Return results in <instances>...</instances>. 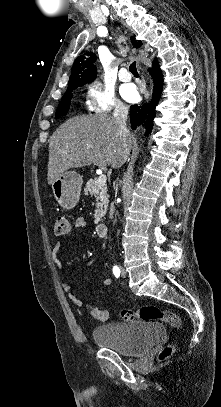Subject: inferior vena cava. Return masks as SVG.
I'll return each mask as SVG.
<instances>
[{"label":"inferior vena cava","instance_id":"obj_1","mask_svg":"<svg viewBox=\"0 0 221 407\" xmlns=\"http://www.w3.org/2000/svg\"><path fill=\"white\" fill-rule=\"evenodd\" d=\"M127 116H128V108L120 103L117 104L113 113V118L115 123L118 125L120 133H121V137L124 143V147H126V141L127 138L129 136V130L127 129V125H126V120H127ZM122 164L118 165V168L121 167Z\"/></svg>","mask_w":221,"mask_h":407}]
</instances>
